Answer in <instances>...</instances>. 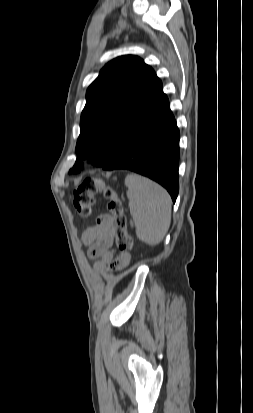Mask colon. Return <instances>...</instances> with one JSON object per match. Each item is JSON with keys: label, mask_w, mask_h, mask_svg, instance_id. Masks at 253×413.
Instances as JSON below:
<instances>
[{"label": "colon", "mask_w": 253, "mask_h": 413, "mask_svg": "<svg viewBox=\"0 0 253 413\" xmlns=\"http://www.w3.org/2000/svg\"><path fill=\"white\" fill-rule=\"evenodd\" d=\"M96 193H101L107 200V208L112 221V234L120 255L129 254L133 239L127 231L123 203L114 188L96 177L83 179L73 195V205L78 215L87 218L92 214Z\"/></svg>", "instance_id": "colon-1"}]
</instances>
